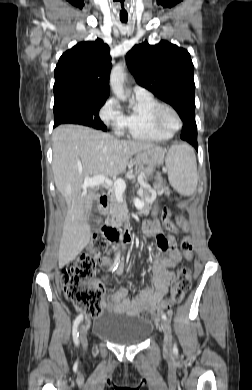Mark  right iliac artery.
<instances>
[{
    "mask_svg": "<svg viewBox=\"0 0 252 390\" xmlns=\"http://www.w3.org/2000/svg\"><path fill=\"white\" fill-rule=\"evenodd\" d=\"M119 261H120V254L118 253L116 258H115V261H114V266L116 265V267H117L118 264H119ZM116 267H114V269ZM82 319H83V315L82 314L78 315L77 318L74 321V324H73L72 335H73V341H74L75 345L79 344L78 325H79V323L81 322Z\"/></svg>",
    "mask_w": 252,
    "mask_h": 390,
    "instance_id": "obj_1",
    "label": "right iliac artery"
}]
</instances>
